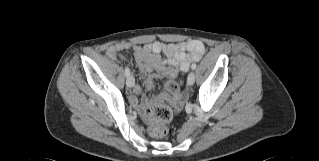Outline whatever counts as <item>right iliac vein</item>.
Returning <instances> with one entry per match:
<instances>
[{
	"instance_id": "1",
	"label": "right iliac vein",
	"mask_w": 319,
	"mask_h": 161,
	"mask_svg": "<svg viewBox=\"0 0 319 161\" xmlns=\"http://www.w3.org/2000/svg\"><path fill=\"white\" fill-rule=\"evenodd\" d=\"M126 84H127V86L128 87H133V85H134V78H133V76H128V78H127V80H126Z\"/></svg>"
}]
</instances>
